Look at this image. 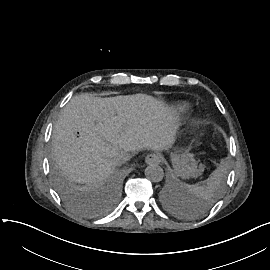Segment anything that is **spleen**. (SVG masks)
<instances>
[{"instance_id": "1", "label": "spleen", "mask_w": 270, "mask_h": 270, "mask_svg": "<svg viewBox=\"0 0 270 270\" xmlns=\"http://www.w3.org/2000/svg\"><path fill=\"white\" fill-rule=\"evenodd\" d=\"M223 176V173H221L219 170H214L211 175H209L206 183L208 185H213V186H219L220 185V181L221 178ZM201 187V185L199 183H195V184H186V188L189 189L190 192H194V194H196V190ZM181 200L185 201V202H190L191 200L189 199L190 194H184L182 193L181 195Z\"/></svg>"}]
</instances>
